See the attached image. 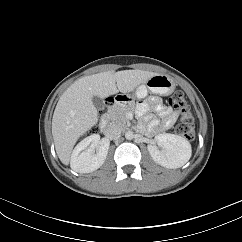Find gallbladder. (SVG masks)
Here are the masks:
<instances>
[{
  "label": "gallbladder",
  "mask_w": 242,
  "mask_h": 242,
  "mask_svg": "<svg viewBox=\"0 0 242 242\" xmlns=\"http://www.w3.org/2000/svg\"><path fill=\"white\" fill-rule=\"evenodd\" d=\"M92 101L94 106L98 109V110H103L105 107V102L102 98L98 97V96H93L92 97Z\"/></svg>",
  "instance_id": "1"
}]
</instances>
